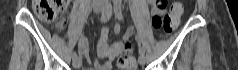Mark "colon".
<instances>
[{
  "label": "colon",
  "mask_w": 238,
  "mask_h": 70,
  "mask_svg": "<svg viewBox=\"0 0 238 70\" xmlns=\"http://www.w3.org/2000/svg\"><path fill=\"white\" fill-rule=\"evenodd\" d=\"M155 6L158 8L165 7L164 0H156ZM66 0H35L33 7L38 15L44 21L55 20L60 13L66 9ZM182 6L179 2L173 3L170 12L161 18L158 15H154L152 18L153 27L158 29L161 28L164 32L170 33L176 29L179 24L180 14ZM133 38V33H124L122 36V43L125 47L127 44L130 48V41ZM129 54L132 52L130 49L127 51ZM129 54H118L117 68L120 70H131L135 66V59Z\"/></svg>",
  "instance_id": "obj_1"
}]
</instances>
